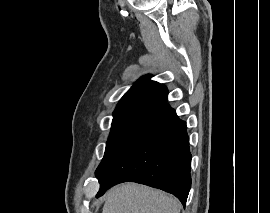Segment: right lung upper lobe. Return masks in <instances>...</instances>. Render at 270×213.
Returning a JSON list of instances; mask_svg holds the SVG:
<instances>
[{"mask_svg": "<svg viewBox=\"0 0 270 213\" xmlns=\"http://www.w3.org/2000/svg\"><path fill=\"white\" fill-rule=\"evenodd\" d=\"M150 78V75L140 78L121 98L116 109L135 105L157 107L166 103L168 89L163 84L151 81Z\"/></svg>", "mask_w": 270, "mask_h": 213, "instance_id": "obj_1", "label": "right lung upper lobe"}]
</instances>
